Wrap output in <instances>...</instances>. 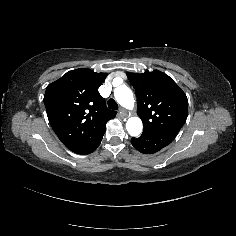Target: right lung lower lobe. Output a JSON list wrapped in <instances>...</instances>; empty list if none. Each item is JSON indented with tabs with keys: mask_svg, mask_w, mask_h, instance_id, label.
Masks as SVG:
<instances>
[{
	"mask_svg": "<svg viewBox=\"0 0 236 236\" xmlns=\"http://www.w3.org/2000/svg\"><path fill=\"white\" fill-rule=\"evenodd\" d=\"M105 132L101 133L100 135H98L96 138L81 144L77 147H74L72 149H70L72 152H75L77 154H89L91 152H93L94 150H96V148L99 146L102 137L104 135Z\"/></svg>",
	"mask_w": 236,
	"mask_h": 236,
	"instance_id": "obj_1",
	"label": "right lung lower lobe"
}]
</instances>
